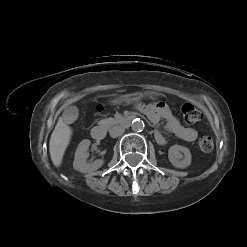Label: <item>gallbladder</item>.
<instances>
[{
  "label": "gallbladder",
  "mask_w": 247,
  "mask_h": 247,
  "mask_svg": "<svg viewBox=\"0 0 247 247\" xmlns=\"http://www.w3.org/2000/svg\"><path fill=\"white\" fill-rule=\"evenodd\" d=\"M78 108L76 106H69L63 112V121L65 123H72L78 118Z\"/></svg>",
  "instance_id": "obj_1"
}]
</instances>
